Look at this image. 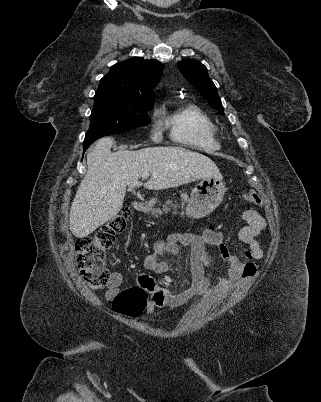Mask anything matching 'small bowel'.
<instances>
[{
	"instance_id": "1",
	"label": "small bowel",
	"mask_w": 321,
	"mask_h": 402,
	"mask_svg": "<svg viewBox=\"0 0 321 402\" xmlns=\"http://www.w3.org/2000/svg\"><path fill=\"white\" fill-rule=\"evenodd\" d=\"M241 220L244 226L238 232L239 240L246 246L244 257L259 260L263 257V251L258 242V235L265 228V219L254 210H246ZM216 248L219 256L226 264V276L216 280L217 291L221 294L237 288L242 282L255 277L258 272V264L254 261H243L238 255L232 253L225 243L222 233L215 230H207L203 233L177 232L170 234L166 239L154 244L153 252L144 259V267L154 273L167 272L171 265L168 261L161 260L166 254L176 255L180 246L190 248V272L192 284L189 288L174 293L160 286L146 275L138 278L141 287L150 294L146 307V315L151 317L156 308H177L187 304L195 298H204L212 287L210 278L205 276L204 267L210 265L211 255L207 246ZM123 276L119 272H112L108 280L106 297L111 300L120 291Z\"/></svg>"
}]
</instances>
